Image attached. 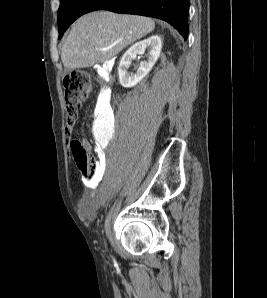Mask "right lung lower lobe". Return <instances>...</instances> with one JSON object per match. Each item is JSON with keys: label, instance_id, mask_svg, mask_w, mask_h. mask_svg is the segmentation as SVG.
Here are the masks:
<instances>
[{"label": "right lung lower lobe", "instance_id": "obj_1", "mask_svg": "<svg viewBox=\"0 0 267 298\" xmlns=\"http://www.w3.org/2000/svg\"><path fill=\"white\" fill-rule=\"evenodd\" d=\"M189 0H98L91 11L109 10L162 19L187 39Z\"/></svg>", "mask_w": 267, "mask_h": 298}]
</instances>
